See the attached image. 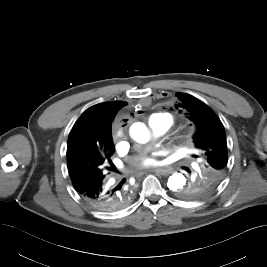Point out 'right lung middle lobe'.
Instances as JSON below:
<instances>
[{
    "mask_svg": "<svg viewBox=\"0 0 267 267\" xmlns=\"http://www.w3.org/2000/svg\"><path fill=\"white\" fill-rule=\"evenodd\" d=\"M114 153L113 145L110 148L95 147L84 151L80 155L67 157V165L73 185L86 181L106 178L113 170L111 156Z\"/></svg>",
    "mask_w": 267,
    "mask_h": 267,
    "instance_id": "obj_1",
    "label": "right lung middle lobe"
}]
</instances>
